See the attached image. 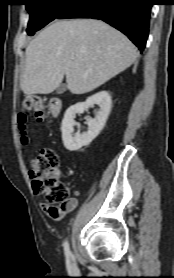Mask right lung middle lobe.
<instances>
[{
    "label": "right lung middle lobe",
    "mask_w": 174,
    "mask_h": 278,
    "mask_svg": "<svg viewBox=\"0 0 174 278\" xmlns=\"http://www.w3.org/2000/svg\"><path fill=\"white\" fill-rule=\"evenodd\" d=\"M77 0H26V9L30 14L27 33L32 36L36 31L60 16Z\"/></svg>",
    "instance_id": "1"
}]
</instances>
